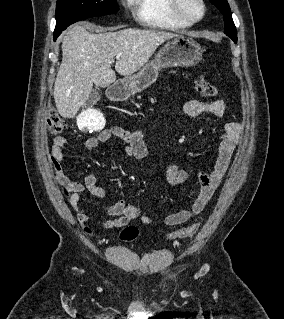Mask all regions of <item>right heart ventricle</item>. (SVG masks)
Masks as SVG:
<instances>
[{"mask_svg": "<svg viewBox=\"0 0 284 319\" xmlns=\"http://www.w3.org/2000/svg\"><path fill=\"white\" fill-rule=\"evenodd\" d=\"M140 25L153 29H182L189 23L178 18L171 8V0H132Z\"/></svg>", "mask_w": 284, "mask_h": 319, "instance_id": "right-heart-ventricle-1", "label": "right heart ventricle"}]
</instances>
